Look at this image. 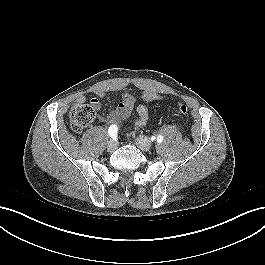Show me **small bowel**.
<instances>
[{"instance_id": "1", "label": "small bowel", "mask_w": 265, "mask_h": 265, "mask_svg": "<svg viewBox=\"0 0 265 265\" xmlns=\"http://www.w3.org/2000/svg\"><path fill=\"white\" fill-rule=\"evenodd\" d=\"M101 95L102 94L99 93V96ZM77 101L83 102L85 101V97L79 96L77 98ZM92 102L96 105L97 108L100 106V102L98 99H92ZM135 103H136V99L134 98L133 95H131L130 93H124L122 95L121 102L119 103L117 108L111 111L110 113H108L104 117V122L110 125H115V124L120 123L122 120H124L129 115V113L134 108ZM136 113H137V118L135 120V125L138 127L145 126L148 121V117H149L148 108L145 105H138L136 107Z\"/></svg>"}]
</instances>
